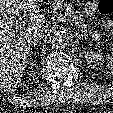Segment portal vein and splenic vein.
Instances as JSON below:
<instances>
[{
    "mask_svg": "<svg viewBox=\"0 0 113 113\" xmlns=\"http://www.w3.org/2000/svg\"><path fill=\"white\" fill-rule=\"evenodd\" d=\"M25 26H26L25 20L24 19H19V21L16 23L15 28L22 30V29L25 28Z\"/></svg>",
    "mask_w": 113,
    "mask_h": 113,
    "instance_id": "18ae733b",
    "label": "portal vein and splenic vein"
}]
</instances>
